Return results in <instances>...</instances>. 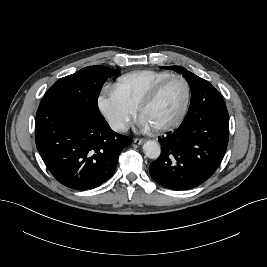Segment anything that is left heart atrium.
<instances>
[{
  "label": "left heart atrium",
  "mask_w": 267,
  "mask_h": 267,
  "mask_svg": "<svg viewBox=\"0 0 267 267\" xmlns=\"http://www.w3.org/2000/svg\"><path fill=\"white\" fill-rule=\"evenodd\" d=\"M140 124L144 128H149L150 127L149 123L143 117L140 119Z\"/></svg>",
  "instance_id": "1"
}]
</instances>
